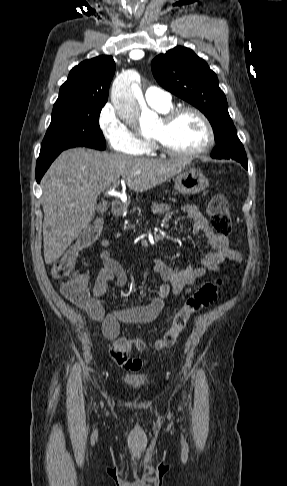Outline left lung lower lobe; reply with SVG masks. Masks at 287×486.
Here are the masks:
<instances>
[{
  "instance_id": "obj_1",
  "label": "left lung lower lobe",
  "mask_w": 287,
  "mask_h": 486,
  "mask_svg": "<svg viewBox=\"0 0 287 486\" xmlns=\"http://www.w3.org/2000/svg\"><path fill=\"white\" fill-rule=\"evenodd\" d=\"M236 161L240 162L246 169H248L247 158L243 160H236Z\"/></svg>"
}]
</instances>
